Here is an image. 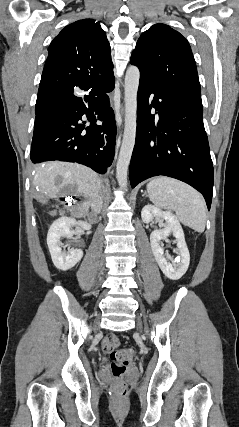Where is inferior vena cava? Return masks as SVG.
<instances>
[{"label":"inferior vena cava","instance_id":"inferior-vena-cava-1","mask_svg":"<svg viewBox=\"0 0 239 427\" xmlns=\"http://www.w3.org/2000/svg\"><path fill=\"white\" fill-rule=\"evenodd\" d=\"M96 203H97V205H98V207L99 208H101V206H102V198H101V196L99 195V192H98V194H97V196H96Z\"/></svg>","mask_w":239,"mask_h":427}]
</instances>
